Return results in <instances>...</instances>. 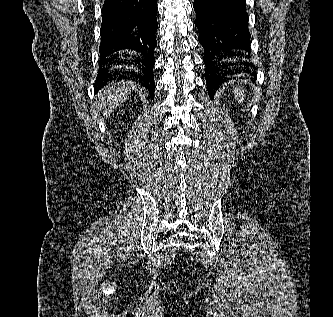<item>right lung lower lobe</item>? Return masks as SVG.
<instances>
[{
    "mask_svg": "<svg viewBox=\"0 0 333 317\" xmlns=\"http://www.w3.org/2000/svg\"><path fill=\"white\" fill-rule=\"evenodd\" d=\"M101 11L100 70L94 83L95 91L115 78L114 74L108 73V65L113 61L109 57L116 51L131 49L144 57L141 60L143 69L134 75L135 79L148 89L153 98V52L157 45L155 33L158 27L156 0H105Z\"/></svg>",
    "mask_w": 333,
    "mask_h": 317,
    "instance_id": "right-lung-lower-lobe-1",
    "label": "right lung lower lobe"
}]
</instances>
